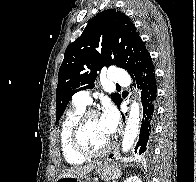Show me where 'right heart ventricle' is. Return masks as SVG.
<instances>
[{"label": "right heart ventricle", "instance_id": "obj_1", "mask_svg": "<svg viewBox=\"0 0 196 182\" xmlns=\"http://www.w3.org/2000/svg\"><path fill=\"white\" fill-rule=\"evenodd\" d=\"M85 110V106L73 103L72 107L67 111L60 126V145L63 156L67 163L71 165H80L84 163L85 158L78 155L71 147L70 132L79 115Z\"/></svg>", "mask_w": 196, "mask_h": 182}]
</instances>
